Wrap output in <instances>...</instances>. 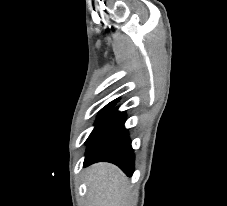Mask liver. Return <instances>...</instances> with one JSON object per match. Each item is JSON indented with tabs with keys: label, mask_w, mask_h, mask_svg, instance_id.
Masks as SVG:
<instances>
[{
	"label": "liver",
	"mask_w": 227,
	"mask_h": 206,
	"mask_svg": "<svg viewBox=\"0 0 227 206\" xmlns=\"http://www.w3.org/2000/svg\"><path fill=\"white\" fill-rule=\"evenodd\" d=\"M90 206H126L128 181L122 171L110 163H97L88 169Z\"/></svg>",
	"instance_id": "6515ba94"
}]
</instances>
